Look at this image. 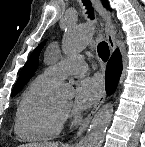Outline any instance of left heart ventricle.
<instances>
[{"label":"left heart ventricle","instance_id":"left-heart-ventricle-1","mask_svg":"<svg viewBox=\"0 0 145 147\" xmlns=\"http://www.w3.org/2000/svg\"><path fill=\"white\" fill-rule=\"evenodd\" d=\"M70 105V101H64L62 103L59 104V107L62 109H67Z\"/></svg>","mask_w":145,"mask_h":147}]
</instances>
